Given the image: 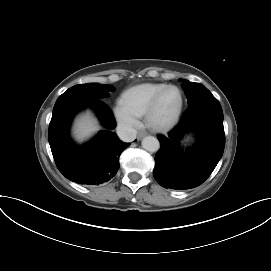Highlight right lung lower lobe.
Wrapping results in <instances>:
<instances>
[{
  "label": "right lung lower lobe",
  "instance_id": "98d812e1",
  "mask_svg": "<svg viewBox=\"0 0 271 271\" xmlns=\"http://www.w3.org/2000/svg\"><path fill=\"white\" fill-rule=\"evenodd\" d=\"M86 107L93 108L107 130L89 143L79 146L72 142L69 127L73 116ZM116 122L110 108L101 99L66 101L53 108L48 140L60 172L71 181L99 185L115 176L119 156L130 143H123L110 130Z\"/></svg>",
  "mask_w": 271,
  "mask_h": 271
}]
</instances>
